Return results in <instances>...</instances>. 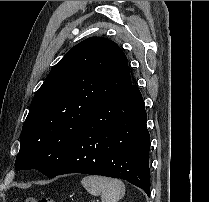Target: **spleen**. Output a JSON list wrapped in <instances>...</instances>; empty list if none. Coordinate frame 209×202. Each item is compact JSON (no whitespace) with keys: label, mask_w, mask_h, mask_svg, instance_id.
I'll return each instance as SVG.
<instances>
[{"label":"spleen","mask_w":209,"mask_h":202,"mask_svg":"<svg viewBox=\"0 0 209 202\" xmlns=\"http://www.w3.org/2000/svg\"><path fill=\"white\" fill-rule=\"evenodd\" d=\"M81 183L91 195H100L102 202H118L125 194V185L119 179L88 175Z\"/></svg>","instance_id":"obj_1"}]
</instances>
